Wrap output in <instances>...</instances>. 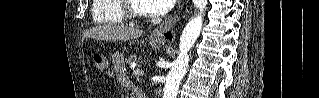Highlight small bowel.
Listing matches in <instances>:
<instances>
[{"mask_svg": "<svg viewBox=\"0 0 319 98\" xmlns=\"http://www.w3.org/2000/svg\"><path fill=\"white\" fill-rule=\"evenodd\" d=\"M117 78L118 81L126 88L128 89H135L131 82L128 80V78L125 75V72L122 69H117Z\"/></svg>", "mask_w": 319, "mask_h": 98, "instance_id": "1", "label": "small bowel"}]
</instances>
